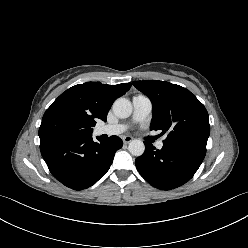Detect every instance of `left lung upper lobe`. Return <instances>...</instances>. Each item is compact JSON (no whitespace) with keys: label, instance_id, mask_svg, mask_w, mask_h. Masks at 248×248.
I'll return each instance as SVG.
<instances>
[{"label":"left lung upper lobe","instance_id":"left-lung-upper-lobe-1","mask_svg":"<svg viewBox=\"0 0 248 248\" xmlns=\"http://www.w3.org/2000/svg\"><path fill=\"white\" fill-rule=\"evenodd\" d=\"M133 85L151 100V130L168 134L163 144L206 150L210 134L208 112L189 90L157 80L134 81Z\"/></svg>","mask_w":248,"mask_h":248}]
</instances>
